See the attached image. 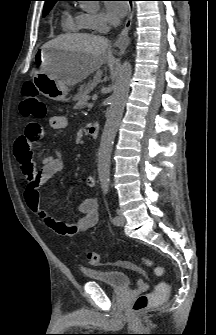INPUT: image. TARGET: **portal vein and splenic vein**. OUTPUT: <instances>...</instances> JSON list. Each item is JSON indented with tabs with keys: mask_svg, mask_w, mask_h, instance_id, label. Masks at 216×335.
Listing matches in <instances>:
<instances>
[{
	"mask_svg": "<svg viewBox=\"0 0 216 335\" xmlns=\"http://www.w3.org/2000/svg\"><path fill=\"white\" fill-rule=\"evenodd\" d=\"M88 107H89V108H92V107H93V103H89V104H88Z\"/></svg>",
	"mask_w": 216,
	"mask_h": 335,
	"instance_id": "portal-vein-and-splenic-vein-1",
	"label": "portal vein and splenic vein"
}]
</instances>
